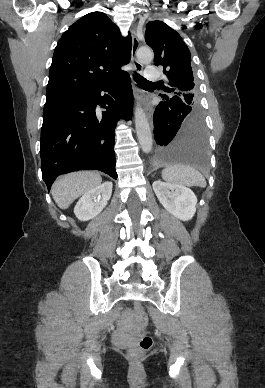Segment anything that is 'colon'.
Instances as JSON below:
<instances>
[{
	"mask_svg": "<svg viewBox=\"0 0 265 388\" xmlns=\"http://www.w3.org/2000/svg\"><path fill=\"white\" fill-rule=\"evenodd\" d=\"M134 309L139 323L142 326H147L148 315L146 313L144 305L141 302H136ZM152 343L153 341L150 336H143L138 340L137 344L131 349V353L133 355H138L143 351H147L151 348Z\"/></svg>",
	"mask_w": 265,
	"mask_h": 388,
	"instance_id": "1",
	"label": "colon"
}]
</instances>
